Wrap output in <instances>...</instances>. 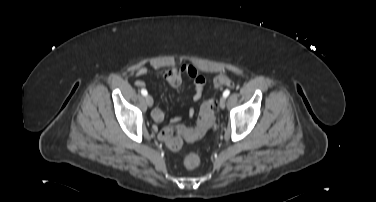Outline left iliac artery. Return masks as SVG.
I'll use <instances>...</instances> for the list:
<instances>
[{
	"label": "left iliac artery",
	"instance_id": "obj_1",
	"mask_svg": "<svg viewBox=\"0 0 376 202\" xmlns=\"http://www.w3.org/2000/svg\"><path fill=\"white\" fill-rule=\"evenodd\" d=\"M229 94H230V90H225L224 92H223V97H228L229 96Z\"/></svg>",
	"mask_w": 376,
	"mask_h": 202
}]
</instances>
